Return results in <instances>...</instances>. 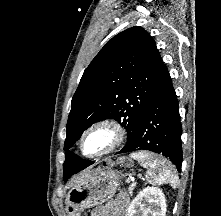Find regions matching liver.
Listing matches in <instances>:
<instances>
[{
  "label": "liver",
  "mask_w": 221,
  "mask_h": 216,
  "mask_svg": "<svg viewBox=\"0 0 221 216\" xmlns=\"http://www.w3.org/2000/svg\"><path fill=\"white\" fill-rule=\"evenodd\" d=\"M89 172H90V171H86V172L83 173L80 177H77V178L74 180V182L82 181V179H83L84 177H86Z\"/></svg>",
  "instance_id": "obj_1"
}]
</instances>
